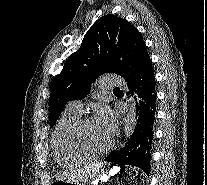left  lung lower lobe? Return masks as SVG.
I'll return each mask as SVG.
<instances>
[{"label": "left lung lower lobe", "instance_id": "left-lung-lower-lobe-1", "mask_svg": "<svg viewBox=\"0 0 207 185\" xmlns=\"http://www.w3.org/2000/svg\"><path fill=\"white\" fill-rule=\"evenodd\" d=\"M130 92L135 93L136 127L125 147L119 151H112L106 160L124 165H133L142 169L147 175L150 173L151 144L153 140V123L155 119V74L153 66L127 80Z\"/></svg>", "mask_w": 207, "mask_h": 185}]
</instances>
